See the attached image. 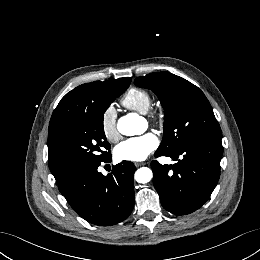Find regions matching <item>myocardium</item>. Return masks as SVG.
<instances>
[{
	"instance_id": "myocardium-1",
	"label": "myocardium",
	"mask_w": 260,
	"mask_h": 260,
	"mask_svg": "<svg viewBox=\"0 0 260 260\" xmlns=\"http://www.w3.org/2000/svg\"><path fill=\"white\" fill-rule=\"evenodd\" d=\"M148 116L150 118V120L155 123V124H159L162 120V114L159 110L155 109V108H151L148 111Z\"/></svg>"
}]
</instances>
